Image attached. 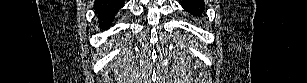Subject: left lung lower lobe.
Masks as SVG:
<instances>
[{
  "label": "left lung lower lobe",
  "instance_id": "left-lung-lower-lobe-1",
  "mask_svg": "<svg viewBox=\"0 0 307 83\" xmlns=\"http://www.w3.org/2000/svg\"><path fill=\"white\" fill-rule=\"evenodd\" d=\"M181 5L186 11L196 17L201 16L205 10L203 0H183Z\"/></svg>",
  "mask_w": 307,
  "mask_h": 83
}]
</instances>
